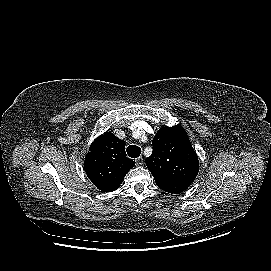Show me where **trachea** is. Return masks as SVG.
I'll use <instances>...</instances> for the list:
<instances>
[{"label": "trachea", "mask_w": 271, "mask_h": 271, "mask_svg": "<svg viewBox=\"0 0 271 271\" xmlns=\"http://www.w3.org/2000/svg\"><path fill=\"white\" fill-rule=\"evenodd\" d=\"M127 154L131 158H138L141 154V148L136 145H130L127 147Z\"/></svg>", "instance_id": "obj_1"}]
</instances>
